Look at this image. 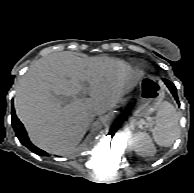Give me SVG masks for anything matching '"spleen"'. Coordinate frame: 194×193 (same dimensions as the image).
<instances>
[{
    "instance_id": "spleen-1",
    "label": "spleen",
    "mask_w": 194,
    "mask_h": 193,
    "mask_svg": "<svg viewBox=\"0 0 194 193\" xmlns=\"http://www.w3.org/2000/svg\"><path fill=\"white\" fill-rule=\"evenodd\" d=\"M179 118V113L171 103H160L153 129V138L159 146L169 147L174 143L179 134Z\"/></svg>"
}]
</instances>
